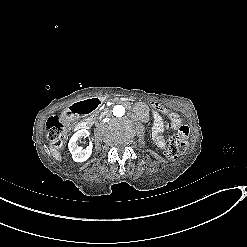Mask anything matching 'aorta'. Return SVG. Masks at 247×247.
Segmentation results:
<instances>
[{"instance_id":"762f6f07","label":"aorta","mask_w":247,"mask_h":247,"mask_svg":"<svg viewBox=\"0 0 247 247\" xmlns=\"http://www.w3.org/2000/svg\"><path fill=\"white\" fill-rule=\"evenodd\" d=\"M125 114V108L122 105H116L113 108V115L116 117H121Z\"/></svg>"}]
</instances>
